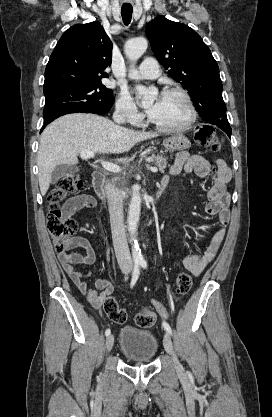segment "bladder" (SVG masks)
<instances>
[{
	"mask_svg": "<svg viewBox=\"0 0 272 417\" xmlns=\"http://www.w3.org/2000/svg\"><path fill=\"white\" fill-rule=\"evenodd\" d=\"M120 349L130 362L148 363L157 354L158 341L149 331L125 327L120 335Z\"/></svg>",
	"mask_w": 272,
	"mask_h": 417,
	"instance_id": "bladder-1",
	"label": "bladder"
}]
</instances>
